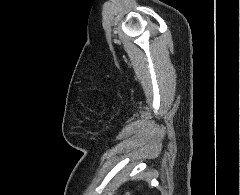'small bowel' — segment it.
I'll return each mask as SVG.
<instances>
[{
	"mask_svg": "<svg viewBox=\"0 0 240 195\" xmlns=\"http://www.w3.org/2000/svg\"><path fill=\"white\" fill-rule=\"evenodd\" d=\"M126 195H131V193L128 192V193H126Z\"/></svg>",
	"mask_w": 240,
	"mask_h": 195,
	"instance_id": "small-bowel-1",
	"label": "small bowel"
}]
</instances>
